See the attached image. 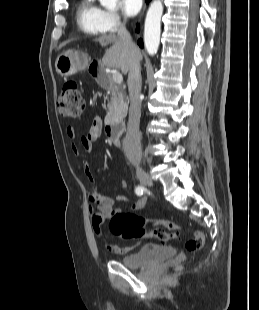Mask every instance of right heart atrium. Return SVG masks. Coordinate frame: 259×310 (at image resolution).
Here are the masks:
<instances>
[{
	"mask_svg": "<svg viewBox=\"0 0 259 310\" xmlns=\"http://www.w3.org/2000/svg\"><path fill=\"white\" fill-rule=\"evenodd\" d=\"M123 24L122 17L115 11L102 12V25L105 31H116Z\"/></svg>",
	"mask_w": 259,
	"mask_h": 310,
	"instance_id": "obj_1",
	"label": "right heart atrium"
}]
</instances>
